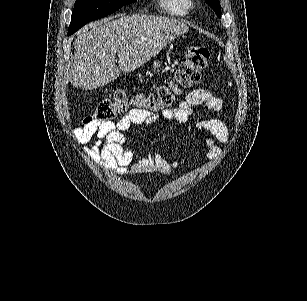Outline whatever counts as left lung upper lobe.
<instances>
[{
    "mask_svg": "<svg viewBox=\"0 0 307 301\" xmlns=\"http://www.w3.org/2000/svg\"><path fill=\"white\" fill-rule=\"evenodd\" d=\"M215 11L218 17H221V6L219 0H205Z\"/></svg>",
    "mask_w": 307,
    "mask_h": 301,
    "instance_id": "left-lung-upper-lobe-1",
    "label": "left lung upper lobe"
}]
</instances>
